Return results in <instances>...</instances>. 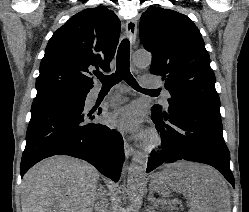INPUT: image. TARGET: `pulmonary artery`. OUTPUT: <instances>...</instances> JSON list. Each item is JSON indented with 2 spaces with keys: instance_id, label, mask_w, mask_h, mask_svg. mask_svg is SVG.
Returning <instances> with one entry per match:
<instances>
[{
  "instance_id": "e3ab8cb5",
  "label": "pulmonary artery",
  "mask_w": 249,
  "mask_h": 212,
  "mask_svg": "<svg viewBox=\"0 0 249 212\" xmlns=\"http://www.w3.org/2000/svg\"><path fill=\"white\" fill-rule=\"evenodd\" d=\"M160 84H151V85H147V88H158L160 87ZM100 92V87L99 86H95L90 93V97L91 99L96 98V96L98 95V93ZM162 97L164 99V101L167 103V100L170 98V93L167 89L162 88Z\"/></svg>"
}]
</instances>
